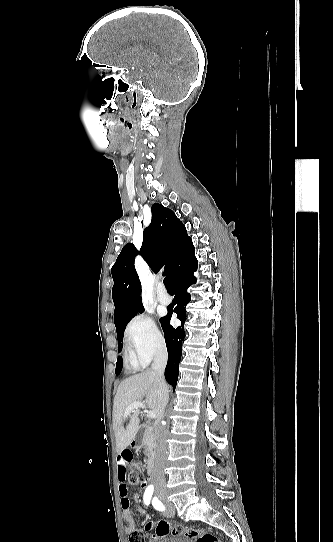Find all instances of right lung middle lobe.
<instances>
[{
    "label": "right lung middle lobe",
    "instance_id": "dd1d6c3e",
    "mask_svg": "<svg viewBox=\"0 0 333 542\" xmlns=\"http://www.w3.org/2000/svg\"><path fill=\"white\" fill-rule=\"evenodd\" d=\"M137 312H144V308L134 312V313H131L123 318H121L119 321L115 322V326H116V331H117V339H118V347H119V352L121 351L122 349V341H123V335H124V330H125V327L127 325V323L135 316L137 315ZM122 370V357H118L117 359V363H116V370H115V373L116 375H119L120 372Z\"/></svg>",
    "mask_w": 333,
    "mask_h": 542
}]
</instances>
